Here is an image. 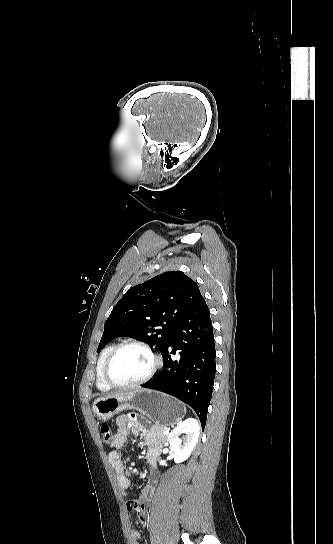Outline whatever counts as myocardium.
I'll list each match as a JSON object with an SVG mask.
<instances>
[{
  "label": "myocardium",
  "instance_id": "obj_1",
  "mask_svg": "<svg viewBox=\"0 0 333 544\" xmlns=\"http://www.w3.org/2000/svg\"><path fill=\"white\" fill-rule=\"evenodd\" d=\"M126 347H138L144 350L145 352H147L149 356L151 357L152 365L150 370L144 377L130 383H117L110 377V367L115 356L122 349ZM161 365H162L161 357L148 343L139 341V340H127L117 344L107 356L103 366V379L112 388H119V389L132 388V387L143 385L147 383L149 380H151L154 377V375L157 373Z\"/></svg>",
  "mask_w": 333,
  "mask_h": 544
}]
</instances>
